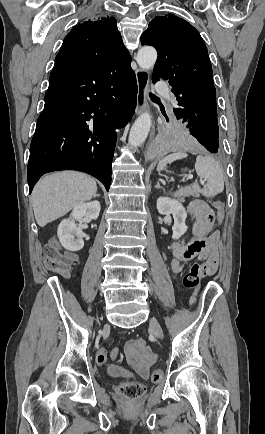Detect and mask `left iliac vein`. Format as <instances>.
I'll return each mask as SVG.
<instances>
[{
    "mask_svg": "<svg viewBox=\"0 0 265 434\" xmlns=\"http://www.w3.org/2000/svg\"><path fill=\"white\" fill-rule=\"evenodd\" d=\"M150 327L153 329L158 338L163 339V331L156 318L150 319Z\"/></svg>",
    "mask_w": 265,
    "mask_h": 434,
    "instance_id": "1",
    "label": "left iliac vein"
}]
</instances>
